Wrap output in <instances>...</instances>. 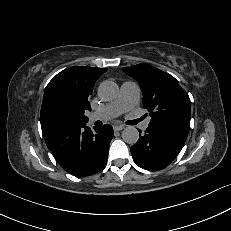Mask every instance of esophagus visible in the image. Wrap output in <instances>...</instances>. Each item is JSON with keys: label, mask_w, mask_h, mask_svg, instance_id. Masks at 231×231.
<instances>
[{"label": "esophagus", "mask_w": 231, "mask_h": 231, "mask_svg": "<svg viewBox=\"0 0 231 231\" xmlns=\"http://www.w3.org/2000/svg\"><path fill=\"white\" fill-rule=\"evenodd\" d=\"M114 131H121L124 129V125H115L113 126Z\"/></svg>", "instance_id": "34e87169"}]
</instances>
